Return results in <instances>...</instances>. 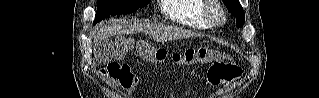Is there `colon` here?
Returning a JSON list of instances; mask_svg holds the SVG:
<instances>
[{
  "mask_svg": "<svg viewBox=\"0 0 319 98\" xmlns=\"http://www.w3.org/2000/svg\"><path fill=\"white\" fill-rule=\"evenodd\" d=\"M132 48H135L143 60L154 65H162L167 62H172L176 65L211 62L207 73V80L212 85L231 83L237 80L242 72L239 66L219 60L220 53L208 47L187 49L169 56L166 49L155 48L149 43L134 44L127 38H119L117 40V56L119 58L124 57L126 52ZM102 74L120 84L123 88H131L137 83V79L131 74L129 68L118 63L109 64L102 71Z\"/></svg>",
  "mask_w": 319,
  "mask_h": 98,
  "instance_id": "obj_1",
  "label": "colon"
}]
</instances>
